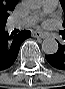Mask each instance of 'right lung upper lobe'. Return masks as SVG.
Returning <instances> with one entry per match:
<instances>
[{
  "label": "right lung upper lobe",
  "mask_w": 65,
  "mask_h": 89,
  "mask_svg": "<svg viewBox=\"0 0 65 89\" xmlns=\"http://www.w3.org/2000/svg\"><path fill=\"white\" fill-rule=\"evenodd\" d=\"M18 0H0V18L8 17L14 10Z\"/></svg>",
  "instance_id": "right-lung-upper-lobe-1"
}]
</instances>
